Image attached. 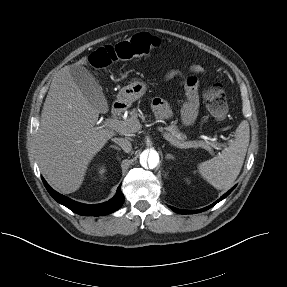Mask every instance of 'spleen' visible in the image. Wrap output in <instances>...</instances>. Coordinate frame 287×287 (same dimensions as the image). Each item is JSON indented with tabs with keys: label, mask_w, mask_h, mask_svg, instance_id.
I'll use <instances>...</instances> for the list:
<instances>
[{
	"label": "spleen",
	"mask_w": 287,
	"mask_h": 287,
	"mask_svg": "<svg viewBox=\"0 0 287 287\" xmlns=\"http://www.w3.org/2000/svg\"><path fill=\"white\" fill-rule=\"evenodd\" d=\"M250 140L249 123L243 120L236 129L235 139L210 160L198 165L201 176L218 190L228 189L238 177Z\"/></svg>",
	"instance_id": "spleen-1"
}]
</instances>
